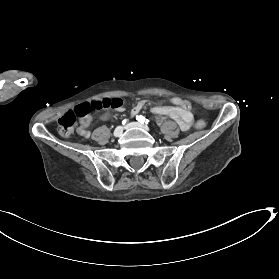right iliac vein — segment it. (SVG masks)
I'll list each match as a JSON object with an SVG mask.
<instances>
[{
	"label": "right iliac vein",
	"instance_id": "63e3f726",
	"mask_svg": "<svg viewBox=\"0 0 279 279\" xmlns=\"http://www.w3.org/2000/svg\"><path fill=\"white\" fill-rule=\"evenodd\" d=\"M123 130H124L123 126H118V127H116L115 130H114V133H113L114 136H115V137L121 136L122 133H123Z\"/></svg>",
	"mask_w": 279,
	"mask_h": 279
}]
</instances>
